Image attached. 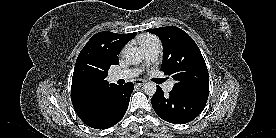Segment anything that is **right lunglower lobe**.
Segmentation results:
<instances>
[{"label":"right lung lower lobe","mask_w":276,"mask_h":138,"mask_svg":"<svg viewBox=\"0 0 276 138\" xmlns=\"http://www.w3.org/2000/svg\"><path fill=\"white\" fill-rule=\"evenodd\" d=\"M133 89L132 82L122 86L111 85L105 94V100L100 104L98 119L85 124L95 129H107L117 124L125 115Z\"/></svg>","instance_id":"right-lung-lower-lobe-1"}]
</instances>
